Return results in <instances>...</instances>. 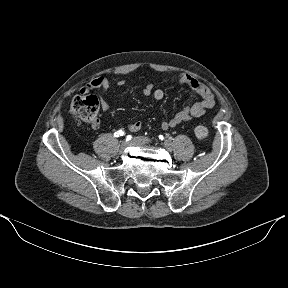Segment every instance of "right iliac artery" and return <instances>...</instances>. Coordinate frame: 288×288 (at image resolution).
<instances>
[{"label":"right iliac artery","instance_id":"right-iliac-artery-1","mask_svg":"<svg viewBox=\"0 0 288 288\" xmlns=\"http://www.w3.org/2000/svg\"><path fill=\"white\" fill-rule=\"evenodd\" d=\"M123 135H124V131H122V130H119V131L114 133L115 137H119V136H123Z\"/></svg>","mask_w":288,"mask_h":288}]
</instances>
